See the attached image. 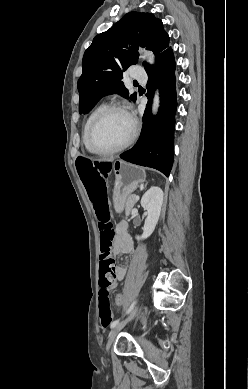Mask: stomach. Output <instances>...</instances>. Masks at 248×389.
I'll use <instances>...</instances> for the list:
<instances>
[{"label":"stomach","mask_w":248,"mask_h":389,"mask_svg":"<svg viewBox=\"0 0 248 389\" xmlns=\"http://www.w3.org/2000/svg\"><path fill=\"white\" fill-rule=\"evenodd\" d=\"M115 174L113 202L116 210L124 208L128 196L146 179L145 170L137 165L117 160L112 163Z\"/></svg>","instance_id":"0dacf381"}]
</instances>
